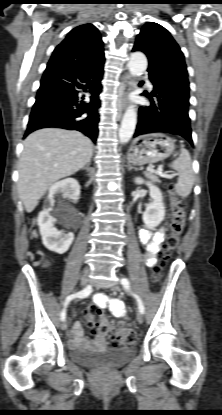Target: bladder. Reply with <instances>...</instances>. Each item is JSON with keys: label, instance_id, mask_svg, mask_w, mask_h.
Here are the masks:
<instances>
[{"label": "bladder", "instance_id": "obj_1", "mask_svg": "<svg viewBox=\"0 0 222 415\" xmlns=\"http://www.w3.org/2000/svg\"><path fill=\"white\" fill-rule=\"evenodd\" d=\"M136 354L137 348L134 345H126L100 350L70 348L68 357L79 365L119 367L134 359Z\"/></svg>", "mask_w": 222, "mask_h": 415}]
</instances>
